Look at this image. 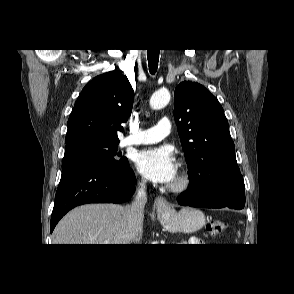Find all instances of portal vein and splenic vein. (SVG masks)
I'll return each instance as SVG.
<instances>
[{
	"instance_id": "18ae733b",
	"label": "portal vein and splenic vein",
	"mask_w": 294,
	"mask_h": 294,
	"mask_svg": "<svg viewBox=\"0 0 294 294\" xmlns=\"http://www.w3.org/2000/svg\"><path fill=\"white\" fill-rule=\"evenodd\" d=\"M103 244H110L109 240H104Z\"/></svg>"
}]
</instances>
